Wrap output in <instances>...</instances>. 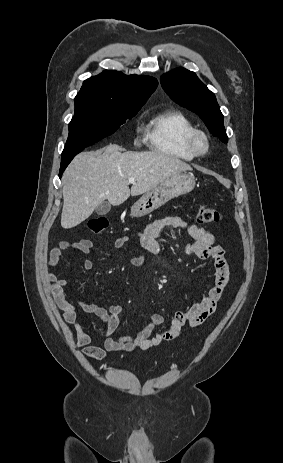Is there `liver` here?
Wrapping results in <instances>:
<instances>
[{"instance_id":"6515ba94","label":"liver","mask_w":283,"mask_h":463,"mask_svg":"<svg viewBox=\"0 0 283 463\" xmlns=\"http://www.w3.org/2000/svg\"><path fill=\"white\" fill-rule=\"evenodd\" d=\"M191 169L180 159L159 152L121 153L116 144L82 152L63 174L61 226L73 228L105 200L118 206L130 195L144 194L163 180ZM129 178L135 179L131 190Z\"/></svg>"}]
</instances>
